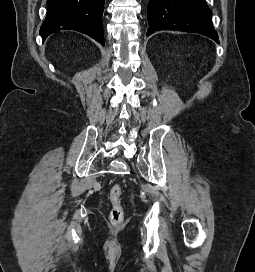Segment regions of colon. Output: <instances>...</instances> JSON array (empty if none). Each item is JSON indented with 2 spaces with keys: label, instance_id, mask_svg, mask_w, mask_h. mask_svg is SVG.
<instances>
[{
  "label": "colon",
  "instance_id": "1",
  "mask_svg": "<svg viewBox=\"0 0 255 272\" xmlns=\"http://www.w3.org/2000/svg\"><path fill=\"white\" fill-rule=\"evenodd\" d=\"M122 187L119 184L111 186L109 191L110 211L109 221L114 226H119L124 221V209L121 203Z\"/></svg>",
  "mask_w": 255,
  "mask_h": 272
}]
</instances>
